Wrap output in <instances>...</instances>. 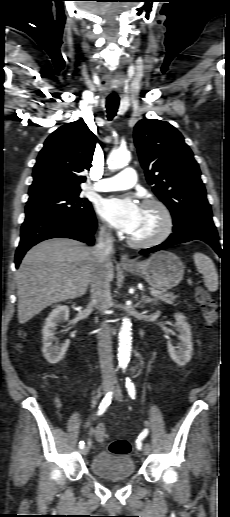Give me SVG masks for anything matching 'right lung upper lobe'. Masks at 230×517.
<instances>
[{
  "instance_id": "1",
  "label": "right lung upper lobe",
  "mask_w": 230,
  "mask_h": 517,
  "mask_svg": "<svg viewBox=\"0 0 230 517\" xmlns=\"http://www.w3.org/2000/svg\"><path fill=\"white\" fill-rule=\"evenodd\" d=\"M96 142L84 122L67 123L54 131L37 157L28 201L81 190L86 178L80 173L90 169Z\"/></svg>"
}]
</instances>
